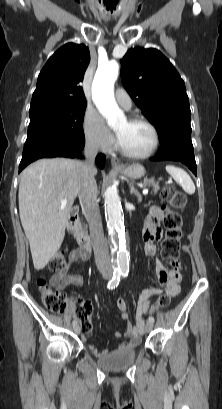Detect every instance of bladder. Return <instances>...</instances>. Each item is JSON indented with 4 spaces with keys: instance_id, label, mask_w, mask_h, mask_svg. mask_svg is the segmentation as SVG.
I'll return each mask as SVG.
<instances>
[{
    "instance_id": "1",
    "label": "bladder",
    "mask_w": 222,
    "mask_h": 409,
    "mask_svg": "<svg viewBox=\"0 0 222 409\" xmlns=\"http://www.w3.org/2000/svg\"><path fill=\"white\" fill-rule=\"evenodd\" d=\"M136 356L135 348L118 349L98 360V366L106 371H119L128 368Z\"/></svg>"
}]
</instances>
